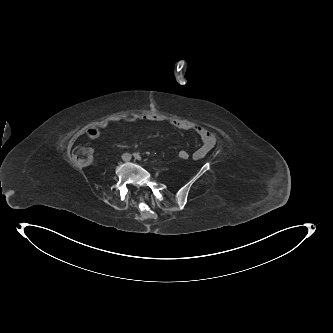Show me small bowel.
Masks as SVG:
<instances>
[{
  "instance_id": "obj_1",
  "label": "small bowel",
  "mask_w": 333,
  "mask_h": 333,
  "mask_svg": "<svg viewBox=\"0 0 333 333\" xmlns=\"http://www.w3.org/2000/svg\"><path fill=\"white\" fill-rule=\"evenodd\" d=\"M138 121L160 122L162 121V119L149 114L132 115L126 119V122L129 124H135ZM112 122L114 121H99L87 131V137L91 140L97 139L100 135L101 130L108 128L110 123ZM170 123L177 129L184 131H193L200 137L202 145L192 154V158L194 160L203 159L214 148L216 143V137L207 128L184 119H173Z\"/></svg>"
}]
</instances>
